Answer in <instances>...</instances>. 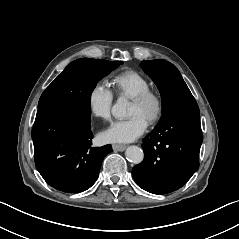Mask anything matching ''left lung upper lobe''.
Instances as JSON below:
<instances>
[{"mask_svg":"<svg viewBox=\"0 0 239 239\" xmlns=\"http://www.w3.org/2000/svg\"><path fill=\"white\" fill-rule=\"evenodd\" d=\"M140 65L156 83L161 93L162 117L159 123L178 108L197 105L180 72L173 64L156 59L142 61Z\"/></svg>","mask_w":239,"mask_h":239,"instance_id":"obj_1","label":"left lung upper lobe"}]
</instances>
